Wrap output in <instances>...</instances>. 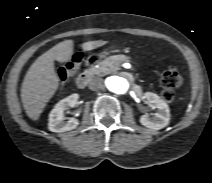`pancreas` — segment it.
I'll return each instance as SVG.
<instances>
[{"label": "pancreas", "mask_w": 212, "mask_h": 183, "mask_svg": "<svg viewBox=\"0 0 212 183\" xmlns=\"http://www.w3.org/2000/svg\"><path fill=\"white\" fill-rule=\"evenodd\" d=\"M126 61H131V58L125 55L110 56L101 61L98 67H93L91 71L95 75L114 73L120 69V64Z\"/></svg>", "instance_id": "pancreas-1"}]
</instances>
